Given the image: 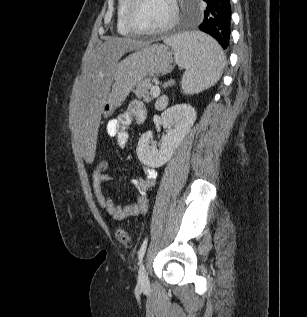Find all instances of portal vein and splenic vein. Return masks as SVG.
<instances>
[{"label": "portal vein and splenic vein", "mask_w": 307, "mask_h": 317, "mask_svg": "<svg viewBox=\"0 0 307 317\" xmlns=\"http://www.w3.org/2000/svg\"><path fill=\"white\" fill-rule=\"evenodd\" d=\"M150 93L153 98H157L160 95V87L158 85L151 87Z\"/></svg>", "instance_id": "18ae733b"}]
</instances>
